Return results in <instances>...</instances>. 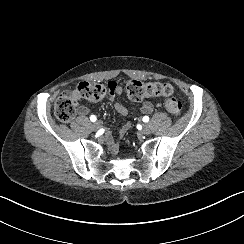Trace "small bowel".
Masks as SVG:
<instances>
[{"instance_id": "small-bowel-1", "label": "small bowel", "mask_w": 244, "mask_h": 244, "mask_svg": "<svg viewBox=\"0 0 244 244\" xmlns=\"http://www.w3.org/2000/svg\"><path fill=\"white\" fill-rule=\"evenodd\" d=\"M109 88H110V91H111L110 101L114 103L116 111L120 115L126 116L128 114L127 108L124 105L115 102V97L122 94V87L120 85L114 83V82H111L109 84ZM77 100H76V103H77ZM155 107H156V105H154L152 102L146 101V102H144L141 105L140 112L143 113V114H148V113L152 112ZM88 112H89L88 107H86L84 105H80L78 107L79 115L85 116V115L88 114ZM129 129H130V124L129 123H127L124 126H122L121 129L119 130V136H123Z\"/></svg>"}]
</instances>
